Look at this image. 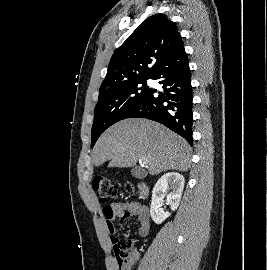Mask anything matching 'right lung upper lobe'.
<instances>
[{
	"label": "right lung upper lobe",
	"instance_id": "obj_1",
	"mask_svg": "<svg viewBox=\"0 0 267 270\" xmlns=\"http://www.w3.org/2000/svg\"><path fill=\"white\" fill-rule=\"evenodd\" d=\"M181 44L176 25L165 15L156 14L147 18L114 52L100 91L127 81L150 77Z\"/></svg>",
	"mask_w": 267,
	"mask_h": 270
}]
</instances>
